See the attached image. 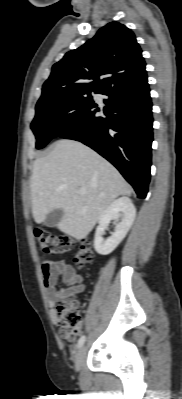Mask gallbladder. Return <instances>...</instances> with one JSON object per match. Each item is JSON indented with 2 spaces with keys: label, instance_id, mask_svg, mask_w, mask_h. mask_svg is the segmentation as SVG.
Wrapping results in <instances>:
<instances>
[{
  "label": "gallbladder",
  "instance_id": "obj_1",
  "mask_svg": "<svg viewBox=\"0 0 182 399\" xmlns=\"http://www.w3.org/2000/svg\"><path fill=\"white\" fill-rule=\"evenodd\" d=\"M63 210L62 209H55L53 211H51L49 214H47L46 218H45V225L48 227H54L56 226L59 221L62 219L63 217Z\"/></svg>",
  "mask_w": 182,
  "mask_h": 399
}]
</instances>
